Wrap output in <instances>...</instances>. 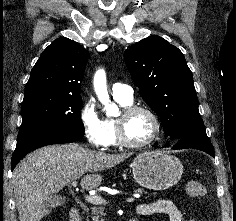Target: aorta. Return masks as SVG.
<instances>
[{
	"instance_id": "obj_1",
	"label": "aorta",
	"mask_w": 236,
	"mask_h": 221,
	"mask_svg": "<svg viewBox=\"0 0 236 221\" xmlns=\"http://www.w3.org/2000/svg\"><path fill=\"white\" fill-rule=\"evenodd\" d=\"M96 93L98 95L100 102L104 105L106 114L108 116H118L119 109L117 105L115 103H112L109 99L105 80L100 87H96Z\"/></svg>"
}]
</instances>
